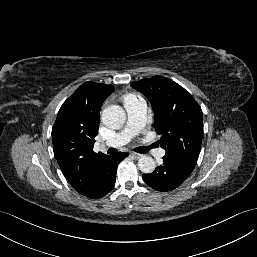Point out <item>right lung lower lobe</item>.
<instances>
[{
  "label": "right lung lower lobe",
  "mask_w": 257,
  "mask_h": 257,
  "mask_svg": "<svg viewBox=\"0 0 257 257\" xmlns=\"http://www.w3.org/2000/svg\"><path fill=\"white\" fill-rule=\"evenodd\" d=\"M128 156L126 152H118L115 155L106 156L97 169L96 176L90 186L80 194L97 199L108 194L115 185L118 164Z\"/></svg>",
  "instance_id": "right-lung-lower-lobe-1"
}]
</instances>
